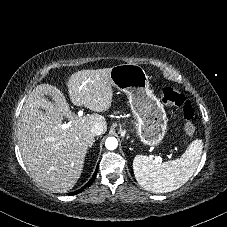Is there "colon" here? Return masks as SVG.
Instances as JSON below:
<instances>
[{"label": "colon", "mask_w": 227, "mask_h": 227, "mask_svg": "<svg viewBox=\"0 0 227 227\" xmlns=\"http://www.w3.org/2000/svg\"><path fill=\"white\" fill-rule=\"evenodd\" d=\"M162 97L165 105L169 107L181 108L182 117L184 120V130L187 134H192L195 130L194 124L192 122L194 113L192 104L186 100L182 93L173 87L164 88Z\"/></svg>", "instance_id": "obj_1"}]
</instances>
